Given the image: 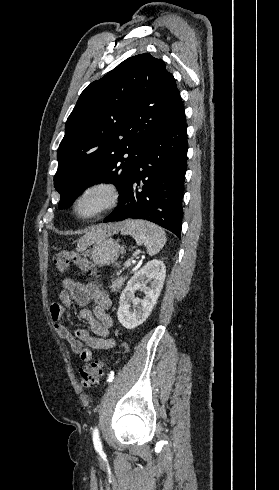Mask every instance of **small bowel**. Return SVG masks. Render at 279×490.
Here are the masks:
<instances>
[{"mask_svg": "<svg viewBox=\"0 0 279 490\" xmlns=\"http://www.w3.org/2000/svg\"><path fill=\"white\" fill-rule=\"evenodd\" d=\"M62 287L59 301L52 303L49 309L54 329L58 337L69 345L74 355L81 361H90L92 350H107L114 345L110 336L113 322L108 314L111 300L95 282L84 284L65 278ZM73 302L82 306L79 317L89 325V328H77L74 333L64 325L66 311ZM90 302L93 303L92 309L86 308Z\"/></svg>", "mask_w": 279, "mask_h": 490, "instance_id": "small-bowel-1", "label": "small bowel"}]
</instances>
